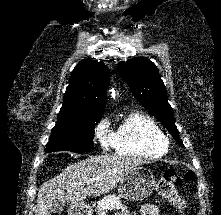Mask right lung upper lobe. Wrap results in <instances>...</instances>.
<instances>
[{
	"label": "right lung upper lobe",
	"mask_w": 221,
	"mask_h": 215,
	"mask_svg": "<svg viewBox=\"0 0 221 215\" xmlns=\"http://www.w3.org/2000/svg\"><path fill=\"white\" fill-rule=\"evenodd\" d=\"M110 74L106 65L82 60L71 73L59 113L103 115Z\"/></svg>",
	"instance_id": "right-lung-upper-lobe-1"
}]
</instances>
